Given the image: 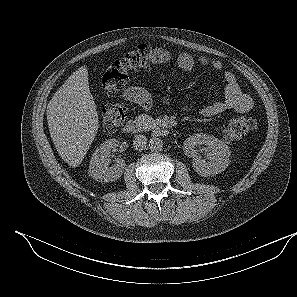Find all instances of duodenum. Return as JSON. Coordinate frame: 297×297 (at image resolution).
I'll use <instances>...</instances> for the list:
<instances>
[{
    "mask_svg": "<svg viewBox=\"0 0 297 297\" xmlns=\"http://www.w3.org/2000/svg\"><path fill=\"white\" fill-rule=\"evenodd\" d=\"M142 124L137 119H130L126 121L122 127V131L126 134H135L140 131ZM153 134L157 136H166L169 133V130L159 126H154L152 129Z\"/></svg>",
    "mask_w": 297,
    "mask_h": 297,
    "instance_id": "1",
    "label": "duodenum"
}]
</instances>
